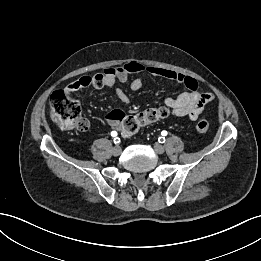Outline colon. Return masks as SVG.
<instances>
[{"mask_svg": "<svg viewBox=\"0 0 261 261\" xmlns=\"http://www.w3.org/2000/svg\"><path fill=\"white\" fill-rule=\"evenodd\" d=\"M83 86L82 81H76L68 87L55 91L50 99V115L52 120L65 130L85 131L89 128V121L82 115L79 102L72 97V92ZM170 111L167 107L146 109L136 115H125L114 110L108 117L119 124V129L124 137L135 135L142 127L166 118ZM209 124L206 120L196 123V130L200 133L207 132Z\"/></svg>", "mask_w": 261, "mask_h": 261, "instance_id": "obj_1", "label": "colon"}]
</instances>
